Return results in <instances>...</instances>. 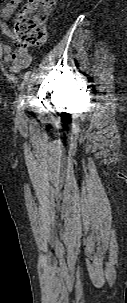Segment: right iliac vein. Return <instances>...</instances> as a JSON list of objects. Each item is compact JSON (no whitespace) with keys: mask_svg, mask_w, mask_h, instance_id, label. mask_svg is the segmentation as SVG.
Wrapping results in <instances>:
<instances>
[{"mask_svg":"<svg viewBox=\"0 0 127 303\" xmlns=\"http://www.w3.org/2000/svg\"><path fill=\"white\" fill-rule=\"evenodd\" d=\"M23 110H24V107H23V106L19 107V109H18V112H17V120H18L19 122H22V121L24 120V112H23Z\"/></svg>","mask_w":127,"mask_h":303,"instance_id":"63e3f726","label":"right iliac vein"}]
</instances>
